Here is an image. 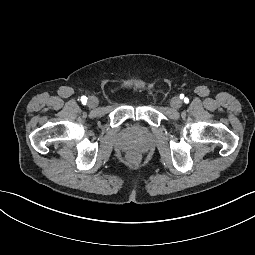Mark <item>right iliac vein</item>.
Returning a JSON list of instances; mask_svg holds the SVG:
<instances>
[{
  "mask_svg": "<svg viewBox=\"0 0 255 255\" xmlns=\"http://www.w3.org/2000/svg\"><path fill=\"white\" fill-rule=\"evenodd\" d=\"M87 105L90 108H94L98 105V99L94 96L88 98Z\"/></svg>",
  "mask_w": 255,
  "mask_h": 255,
  "instance_id": "obj_1",
  "label": "right iliac vein"
}]
</instances>
